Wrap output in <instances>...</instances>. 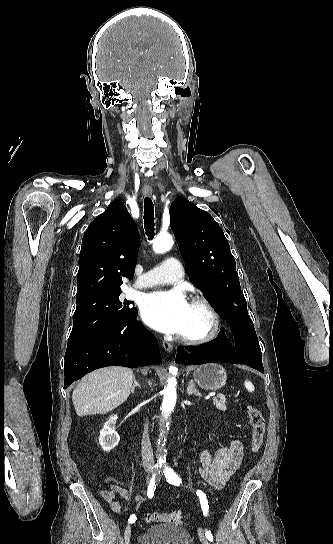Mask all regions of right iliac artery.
I'll return each instance as SVG.
<instances>
[{"mask_svg": "<svg viewBox=\"0 0 333 544\" xmlns=\"http://www.w3.org/2000/svg\"><path fill=\"white\" fill-rule=\"evenodd\" d=\"M158 468H159V466L156 465L155 466V472L152 475V478L150 479V482H149V485H148V488H147V496L149 498L153 497L154 491L156 489V472H157ZM135 521H136V517L134 515H131L130 518H129V522L134 523Z\"/></svg>", "mask_w": 333, "mask_h": 544, "instance_id": "1", "label": "right iliac artery"}]
</instances>
